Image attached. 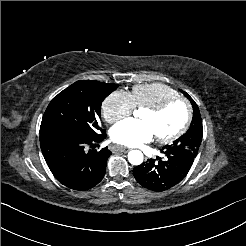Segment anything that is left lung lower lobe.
<instances>
[{
  "mask_svg": "<svg viewBox=\"0 0 246 246\" xmlns=\"http://www.w3.org/2000/svg\"><path fill=\"white\" fill-rule=\"evenodd\" d=\"M165 159H149L133 169L136 181L152 191H165L178 184L189 172L195 155L184 149L163 148Z\"/></svg>",
  "mask_w": 246,
  "mask_h": 246,
  "instance_id": "1",
  "label": "left lung lower lobe"
}]
</instances>
